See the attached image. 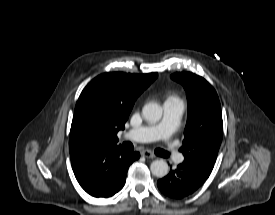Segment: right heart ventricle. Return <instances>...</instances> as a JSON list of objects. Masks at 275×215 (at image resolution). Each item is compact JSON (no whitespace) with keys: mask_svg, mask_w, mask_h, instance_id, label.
Segmentation results:
<instances>
[{"mask_svg":"<svg viewBox=\"0 0 275 215\" xmlns=\"http://www.w3.org/2000/svg\"><path fill=\"white\" fill-rule=\"evenodd\" d=\"M177 99L176 96H169L166 101Z\"/></svg>","mask_w":275,"mask_h":215,"instance_id":"obj_1","label":"right heart ventricle"}]
</instances>
